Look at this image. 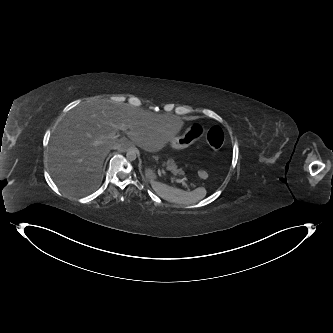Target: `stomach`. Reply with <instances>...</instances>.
Here are the masks:
<instances>
[{
    "label": "stomach",
    "mask_w": 333,
    "mask_h": 333,
    "mask_svg": "<svg viewBox=\"0 0 333 333\" xmlns=\"http://www.w3.org/2000/svg\"><path fill=\"white\" fill-rule=\"evenodd\" d=\"M202 131V127L199 124L195 123L192 125L190 132L184 134L181 137H176L171 142V145L176 149L187 148L192 144V142H194L198 138V135H200ZM143 175L145 179L149 182L153 184H158L163 181L165 177V172L160 165L156 163H150L145 166L143 170Z\"/></svg>",
    "instance_id": "1"
}]
</instances>
